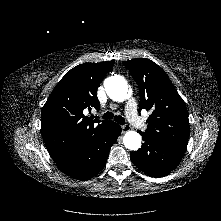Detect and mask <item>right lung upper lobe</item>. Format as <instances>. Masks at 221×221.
Listing matches in <instances>:
<instances>
[{
  "label": "right lung upper lobe",
  "instance_id": "right-lung-upper-lobe-1",
  "mask_svg": "<svg viewBox=\"0 0 221 221\" xmlns=\"http://www.w3.org/2000/svg\"><path fill=\"white\" fill-rule=\"evenodd\" d=\"M114 61L84 63L69 70L48 97L41 113L45 145L57 163L68 159L103 132L111 121L84 114L99 109L96 92Z\"/></svg>",
  "mask_w": 221,
  "mask_h": 221
}]
</instances>
